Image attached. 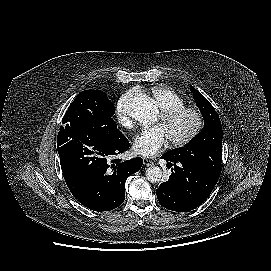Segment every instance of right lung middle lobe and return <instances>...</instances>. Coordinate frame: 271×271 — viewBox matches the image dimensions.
I'll return each instance as SVG.
<instances>
[{
	"label": "right lung middle lobe",
	"instance_id": "obj_1",
	"mask_svg": "<svg viewBox=\"0 0 271 271\" xmlns=\"http://www.w3.org/2000/svg\"><path fill=\"white\" fill-rule=\"evenodd\" d=\"M114 105L101 90L80 92L66 111L62 123L77 125L92 131L112 133L117 125L112 119Z\"/></svg>",
	"mask_w": 271,
	"mask_h": 271
}]
</instances>
